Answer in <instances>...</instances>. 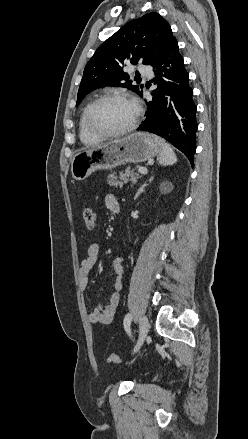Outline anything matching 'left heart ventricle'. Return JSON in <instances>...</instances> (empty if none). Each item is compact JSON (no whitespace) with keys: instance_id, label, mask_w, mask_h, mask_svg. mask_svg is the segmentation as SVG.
<instances>
[{"instance_id":"b2bd125f","label":"left heart ventricle","mask_w":248,"mask_h":439,"mask_svg":"<svg viewBox=\"0 0 248 439\" xmlns=\"http://www.w3.org/2000/svg\"><path fill=\"white\" fill-rule=\"evenodd\" d=\"M135 116V107L125 100H107L94 111L95 124L104 130L117 131L127 127Z\"/></svg>"}]
</instances>
